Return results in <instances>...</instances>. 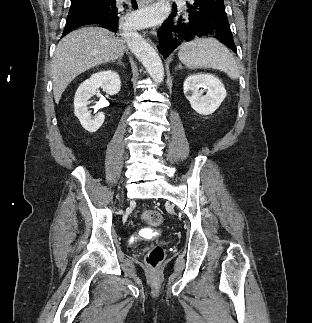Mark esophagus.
I'll list each match as a JSON object with an SVG mask.
<instances>
[{
	"instance_id": "1",
	"label": "esophagus",
	"mask_w": 312,
	"mask_h": 323,
	"mask_svg": "<svg viewBox=\"0 0 312 323\" xmlns=\"http://www.w3.org/2000/svg\"><path fill=\"white\" fill-rule=\"evenodd\" d=\"M155 0H137L139 7H145V5L152 4ZM154 33V32H152Z\"/></svg>"
}]
</instances>
